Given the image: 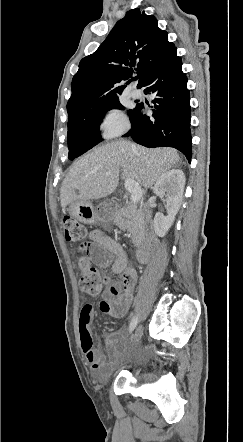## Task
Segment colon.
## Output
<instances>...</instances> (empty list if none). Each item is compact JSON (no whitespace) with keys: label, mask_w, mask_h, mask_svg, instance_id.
I'll list each match as a JSON object with an SVG mask.
<instances>
[{"label":"colon","mask_w":243,"mask_h":442,"mask_svg":"<svg viewBox=\"0 0 243 442\" xmlns=\"http://www.w3.org/2000/svg\"><path fill=\"white\" fill-rule=\"evenodd\" d=\"M63 226L66 240L80 243L79 248L77 244L72 243L70 244L69 249L72 252H75L78 249V253L80 254L79 265L82 270L80 285L82 290L89 295L99 294L104 284V280L101 277L99 270L91 265L89 257L90 245L86 240V227L71 216H65L63 218Z\"/></svg>","instance_id":"colon-1"}]
</instances>
